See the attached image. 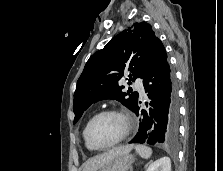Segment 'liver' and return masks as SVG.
Here are the masks:
<instances>
[{
  "label": "liver",
  "mask_w": 223,
  "mask_h": 171,
  "mask_svg": "<svg viewBox=\"0 0 223 171\" xmlns=\"http://www.w3.org/2000/svg\"><path fill=\"white\" fill-rule=\"evenodd\" d=\"M133 147V145L119 146L104 152L101 155L95 156L84 164L83 171H98L101 167L114 160L117 156L128 154Z\"/></svg>",
  "instance_id": "6515ba94"
}]
</instances>
